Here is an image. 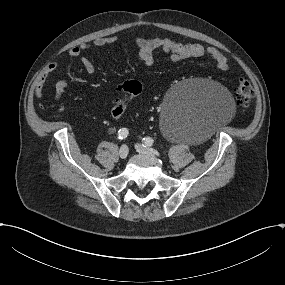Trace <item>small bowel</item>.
Listing matches in <instances>:
<instances>
[{
  "label": "small bowel",
  "mask_w": 285,
  "mask_h": 285,
  "mask_svg": "<svg viewBox=\"0 0 285 285\" xmlns=\"http://www.w3.org/2000/svg\"><path fill=\"white\" fill-rule=\"evenodd\" d=\"M117 37H100L95 39L91 44L83 43L75 46L69 50V56L78 58L83 65L85 71L89 75L95 73V66L90 59L82 56V53L91 49V47H107L118 43ZM135 45L137 47V58L144 65L150 66L154 63V53L162 51L169 55L174 62H179L187 58L207 57L214 61L216 69L219 72H225L229 69V63L224 53L216 47H205L198 43H185L168 38H150L143 37L135 38ZM57 65L50 64L42 77L39 79L36 86V95L38 98L43 97L44 81L48 73L55 71ZM68 83L61 79L56 82L54 89V99L60 102L62 95L65 92Z\"/></svg>",
  "instance_id": "c3829d8e"
}]
</instances>
